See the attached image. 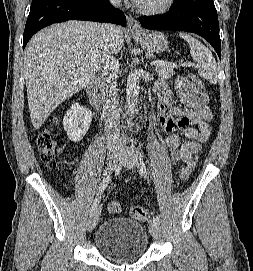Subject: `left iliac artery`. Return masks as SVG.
<instances>
[{
  "instance_id": "1",
  "label": "left iliac artery",
  "mask_w": 253,
  "mask_h": 271,
  "mask_svg": "<svg viewBox=\"0 0 253 271\" xmlns=\"http://www.w3.org/2000/svg\"><path fill=\"white\" fill-rule=\"evenodd\" d=\"M136 165H137V169L139 171V173L144 176V178H148V173L146 170V166H145V162L143 160V155L142 152L139 148H136ZM153 222L160 224V217L159 216H154L153 217Z\"/></svg>"
}]
</instances>
